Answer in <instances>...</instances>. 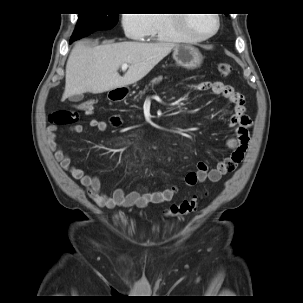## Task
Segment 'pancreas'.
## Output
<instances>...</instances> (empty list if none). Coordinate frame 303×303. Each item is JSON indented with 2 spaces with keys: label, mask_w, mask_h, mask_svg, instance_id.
Returning a JSON list of instances; mask_svg holds the SVG:
<instances>
[{
  "label": "pancreas",
  "mask_w": 303,
  "mask_h": 303,
  "mask_svg": "<svg viewBox=\"0 0 303 303\" xmlns=\"http://www.w3.org/2000/svg\"><path fill=\"white\" fill-rule=\"evenodd\" d=\"M162 80H163V77H162V76H158V77L152 79V80L150 81L149 85L146 86L145 89H144L143 91H140L139 94H138L137 96L134 97V100L139 101L138 97L141 98L142 95L145 94V92L148 90L149 87H152V88H153L154 85L160 83Z\"/></svg>",
  "instance_id": "obj_1"
}]
</instances>
